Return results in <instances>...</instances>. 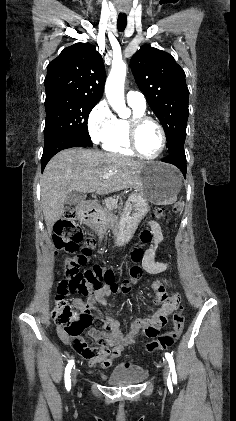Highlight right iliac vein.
Masks as SVG:
<instances>
[{"instance_id": "obj_1", "label": "right iliac vein", "mask_w": 236, "mask_h": 421, "mask_svg": "<svg viewBox=\"0 0 236 421\" xmlns=\"http://www.w3.org/2000/svg\"><path fill=\"white\" fill-rule=\"evenodd\" d=\"M76 378H77V372H73V374H72V382H73V384H75Z\"/></svg>"}]
</instances>
